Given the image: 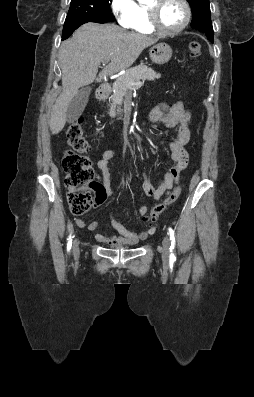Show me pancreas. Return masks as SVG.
Segmentation results:
<instances>
[{"mask_svg":"<svg viewBox=\"0 0 254 397\" xmlns=\"http://www.w3.org/2000/svg\"><path fill=\"white\" fill-rule=\"evenodd\" d=\"M159 78H161V74L156 73L147 65L141 64L128 69L125 74L118 77L113 83V93L110 97L112 101L109 110L110 117L114 118L117 114L121 113L120 106L125 103L127 98H130L132 90L137 87L132 85L133 83L140 82L141 80L153 81Z\"/></svg>","mask_w":254,"mask_h":397,"instance_id":"obj_1","label":"pancreas"}]
</instances>
